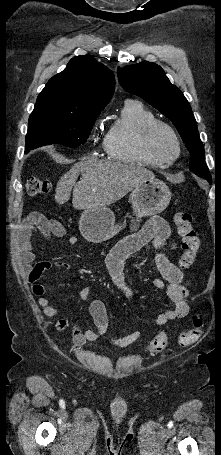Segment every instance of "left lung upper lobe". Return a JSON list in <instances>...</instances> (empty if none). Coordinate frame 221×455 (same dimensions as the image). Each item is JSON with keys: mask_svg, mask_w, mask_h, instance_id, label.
Listing matches in <instances>:
<instances>
[{"mask_svg": "<svg viewBox=\"0 0 221 455\" xmlns=\"http://www.w3.org/2000/svg\"><path fill=\"white\" fill-rule=\"evenodd\" d=\"M117 75L120 85L127 92L143 98L173 122L190 152V170L210 180L204 146L191 106L183 93L171 84L164 70L155 63L144 61L124 69L118 68Z\"/></svg>", "mask_w": 221, "mask_h": 455, "instance_id": "1", "label": "left lung upper lobe"}]
</instances>
